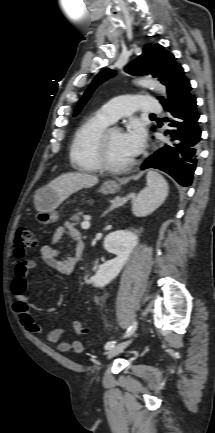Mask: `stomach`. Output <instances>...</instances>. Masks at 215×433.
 <instances>
[{
  "label": "stomach",
  "instance_id": "1",
  "mask_svg": "<svg viewBox=\"0 0 215 433\" xmlns=\"http://www.w3.org/2000/svg\"><path fill=\"white\" fill-rule=\"evenodd\" d=\"M119 185L113 181L105 182L99 192L102 194H114L118 192ZM35 206L38 210L37 220L43 225L54 223L58 220L59 214L56 211L60 204L55 192L47 187L40 188L35 192Z\"/></svg>",
  "mask_w": 215,
  "mask_h": 433
}]
</instances>
